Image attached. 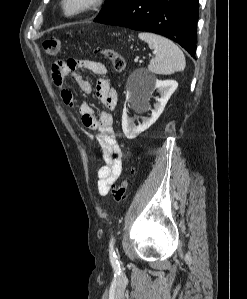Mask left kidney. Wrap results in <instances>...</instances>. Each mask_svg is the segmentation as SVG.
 Instances as JSON below:
<instances>
[{
    "instance_id": "left-kidney-1",
    "label": "left kidney",
    "mask_w": 247,
    "mask_h": 299,
    "mask_svg": "<svg viewBox=\"0 0 247 299\" xmlns=\"http://www.w3.org/2000/svg\"><path fill=\"white\" fill-rule=\"evenodd\" d=\"M178 83L174 80H158L156 79L154 84L145 92L140 93L135 90L127 92V102L129 106L137 111H145L149 105V100L152 93L157 90L161 97L157 98V102L154 104V110L150 118H144L142 124L136 126L131 118L128 117L126 110L122 115V129L128 139L136 138L140 133L147 130L162 114L168 100L171 95L177 89Z\"/></svg>"
}]
</instances>
